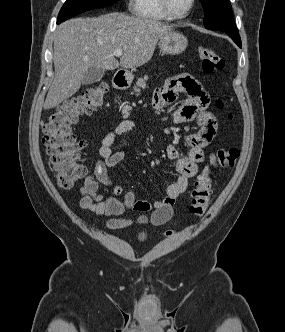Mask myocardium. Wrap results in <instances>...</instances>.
<instances>
[{
  "label": "myocardium",
  "instance_id": "1",
  "mask_svg": "<svg viewBox=\"0 0 285 332\" xmlns=\"http://www.w3.org/2000/svg\"><path fill=\"white\" fill-rule=\"evenodd\" d=\"M160 4L161 7L163 9V11L171 18V19H175V20H182L187 18L191 12L193 11L195 5H196V0H191L190 1V6L189 8L186 10L185 13L183 14H177L173 11L171 5H170V1L169 0H160Z\"/></svg>",
  "mask_w": 285,
  "mask_h": 332
}]
</instances>
